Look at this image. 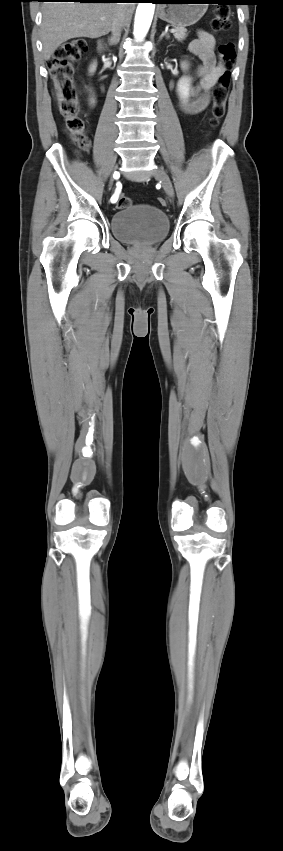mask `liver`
<instances>
[{
	"mask_svg": "<svg viewBox=\"0 0 283 851\" xmlns=\"http://www.w3.org/2000/svg\"><path fill=\"white\" fill-rule=\"evenodd\" d=\"M134 8L133 3L45 2L41 24L44 60H49L55 50L70 39L107 35L120 11L125 12V24H128Z\"/></svg>",
	"mask_w": 283,
	"mask_h": 851,
	"instance_id": "obj_1",
	"label": "liver"
}]
</instances>
